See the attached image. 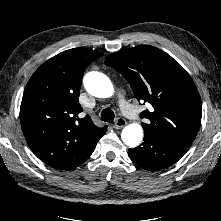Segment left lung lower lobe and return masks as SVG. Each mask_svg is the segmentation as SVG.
Here are the masks:
<instances>
[{"instance_id": "obj_1", "label": "left lung lower lobe", "mask_w": 221, "mask_h": 221, "mask_svg": "<svg viewBox=\"0 0 221 221\" xmlns=\"http://www.w3.org/2000/svg\"><path fill=\"white\" fill-rule=\"evenodd\" d=\"M185 152V148L144 134V142L134 149H129L128 156L145 170L159 171L177 162Z\"/></svg>"}]
</instances>
